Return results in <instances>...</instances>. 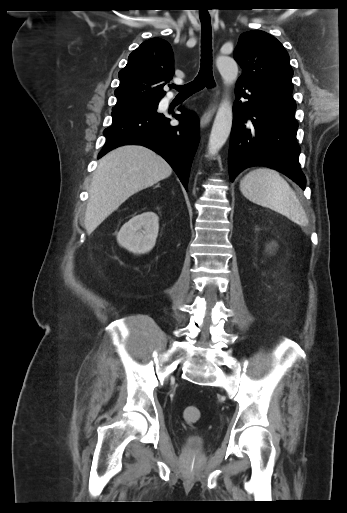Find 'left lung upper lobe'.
<instances>
[{
	"instance_id": "1",
	"label": "left lung upper lobe",
	"mask_w": 347,
	"mask_h": 513,
	"mask_svg": "<svg viewBox=\"0 0 347 513\" xmlns=\"http://www.w3.org/2000/svg\"><path fill=\"white\" fill-rule=\"evenodd\" d=\"M242 68L238 80L252 84L292 85L293 70L282 44L261 30L243 33L234 52Z\"/></svg>"
}]
</instances>
